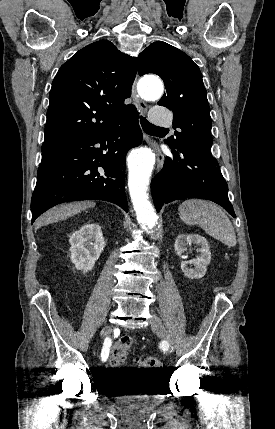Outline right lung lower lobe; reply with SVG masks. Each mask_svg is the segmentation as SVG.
Masks as SVG:
<instances>
[{"label": "right lung lower lobe", "mask_w": 275, "mask_h": 429, "mask_svg": "<svg viewBox=\"0 0 275 429\" xmlns=\"http://www.w3.org/2000/svg\"><path fill=\"white\" fill-rule=\"evenodd\" d=\"M141 142L135 115L43 153L31 199L32 223L49 208L75 200H105L127 212L125 157Z\"/></svg>", "instance_id": "1"}]
</instances>
